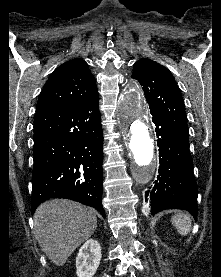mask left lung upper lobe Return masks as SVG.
<instances>
[{"instance_id": "1", "label": "left lung upper lobe", "mask_w": 221, "mask_h": 277, "mask_svg": "<svg viewBox=\"0 0 221 277\" xmlns=\"http://www.w3.org/2000/svg\"><path fill=\"white\" fill-rule=\"evenodd\" d=\"M132 78L143 86L150 112L158 114L185 138L189 137L185 105L171 72L149 59L134 64Z\"/></svg>"}]
</instances>
